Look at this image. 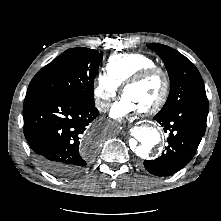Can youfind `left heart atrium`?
Wrapping results in <instances>:
<instances>
[{
  "instance_id": "39dd6f15",
  "label": "left heart atrium",
  "mask_w": 221,
  "mask_h": 221,
  "mask_svg": "<svg viewBox=\"0 0 221 221\" xmlns=\"http://www.w3.org/2000/svg\"><path fill=\"white\" fill-rule=\"evenodd\" d=\"M139 109L137 105L127 96L123 95L118 101H116L111 109L110 115L113 118L121 119L130 114L137 112Z\"/></svg>"
}]
</instances>
